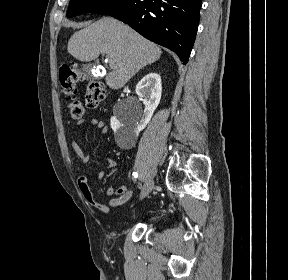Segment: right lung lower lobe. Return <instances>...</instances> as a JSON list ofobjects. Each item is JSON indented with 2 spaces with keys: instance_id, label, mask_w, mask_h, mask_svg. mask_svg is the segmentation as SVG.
Returning a JSON list of instances; mask_svg holds the SVG:
<instances>
[{
  "instance_id": "right-lung-lower-lobe-1",
  "label": "right lung lower lobe",
  "mask_w": 288,
  "mask_h": 280,
  "mask_svg": "<svg viewBox=\"0 0 288 280\" xmlns=\"http://www.w3.org/2000/svg\"><path fill=\"white\" fill-rule=\"evenodd\" d=\"M202 0H125L104 14L174 51L183 64L191 53Z\"/></svg>"
}]
</instances>
